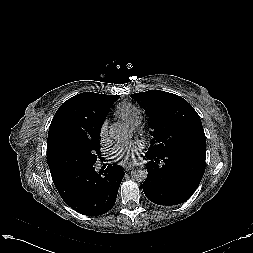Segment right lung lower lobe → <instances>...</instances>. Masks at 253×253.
I'll return each mask as SVG.
<instances>
[{
    "label": "right lung lower lobe",
    "mask_w": 253,
    "mask_h": 253,
    "mask_svg": "<svg viewBox=\"0 0 253 253\" xmlns=\"http://www.w3.org/2000/svg\"><path fill=\"white\" fill-rule=\"evenodd\" d=\"M124 175L116 164L100 171L89 164L54 174L52 179L67 205L80 214L98 216L114 206Z\"/></svg>",
    "instance_id": "98d812e1"
}]
</instances>
